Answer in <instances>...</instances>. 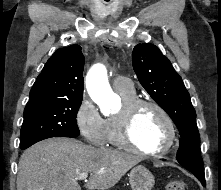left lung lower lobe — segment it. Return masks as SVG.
<instances>
[{"instance_id":"0a47b994","label":"left lung lower lobe","mask_w":221,"mask_h":190,"mask_svg":"<svg viewBox=\"0 0 221 190\" xmlns=\"http://www.w3.org/2000/svg\"><path fill=\"white\" fill-rule=\"evenodd\" d=\"M191 173H193L196 176V178H198V180L202 183V185L205 186V176H204V174H197V173H194V172H191Z\"/></svg>"}]
</instances>
